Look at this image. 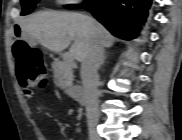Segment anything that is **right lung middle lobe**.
Masks as SVG:
<instances>
[{
  "label": "right lung middle lobe",
  "mask_w": 182,
  "mask_h": 140,
  "mask_svg": "<svg viewBox=\"0 0 182 140\" xmlns=\"http://www.w3.org/2000/svg\"><path fill=\"white\" fill-rule=\"evenodd\" d=\"M38 0H22L21 4H22V12L21 15H27L29 13H31L37 3ZM100 0H88L85 2L84 5H67L65 6L66 8H84L87 5H92V4H99Z\"/></svg>",
  "instance_id": "right-lung-middle-lobe-1"
}]
</instances>
